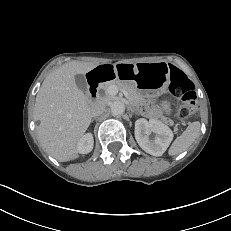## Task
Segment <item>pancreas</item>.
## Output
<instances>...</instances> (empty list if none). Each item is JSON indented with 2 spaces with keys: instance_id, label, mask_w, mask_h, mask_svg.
<instances>
[{
  "instance_id": "pancreas-1",
  "label": "pancreas",
  "mask_w": 231,
  "mask_h": 231,
  "mask_svg": "<svg viewBox=\"0 0 231 231\" xmlns=\"http://www.w3.org/2000/svg\"><path fill=\"white\" fill-rule=\"evenodd\" d=\"M117 86L118 89L120 90H125L128 92V100L130 101L131 104L133 105H137L140 101V96L139 94L137 93V90L135 89L134 85L131 84L130 82H127V81H121V80H114V81H111V82H107V83H104L102 85V88L106 91H108V88L110 86ZM169 122V121H167Z\"/></svg>"
}]
</instances>
